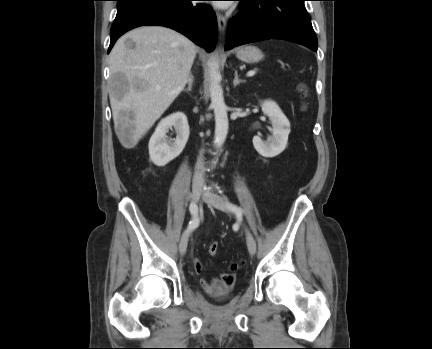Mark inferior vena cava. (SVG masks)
I'll use <instances>...</instances> for the list:
<instances>
[{
  "label": "inferior vena cava",
  "mask_w": 432,
  "mask_h": 349,
  "mask_svg": "<svg viewBox=\"0 0 432 349\" xmlns=\"http://www.w3.org/2000/svg\"><path fill=\"white\" fill-rule=\"evenodd\" d=\"M193 184L194 185H203L204 184V175L202 171V161L199 159L196 166L195 172L193 176Z\"/></svg>",
  "instance_id": "1"
}]
</instances>
